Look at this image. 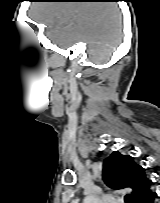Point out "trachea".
I'll list each match as a JSON object with an SVG mask.
<instances>
[{"label": "trachea", "mask_w": 160, "mask_h": 203, "mask_svg": "<svg viewBox=\"0 0 160 203\" xmlns=\"http://www.w3.org/2000/svg\"><path fill=\"white\" fill-rule=\"evenodd\" d=\"M124 199H125L126 203H132V199H131L130 195H126Z\"/></svg>", "instance_id": "trachea-1"}]
</instances>
